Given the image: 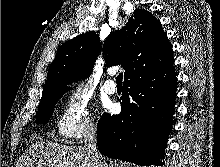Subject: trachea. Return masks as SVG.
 <instances>
[{
  "label": "trachea",
  "mask_w": 220,
  "mask_h": 167,
  "mask_svg": "<svg viewBox=\"0 0 220 167\" xmlns=\"http://www.w3.org/2000/svg\"><path fill=\"white\" fill-rule=\"evenodd\" d=\"M122 79H123V73H120V74L116 77V82H117V83H122Z\"/></svg>",
  "instance_id": "trachea-1"
}]
</instances>
